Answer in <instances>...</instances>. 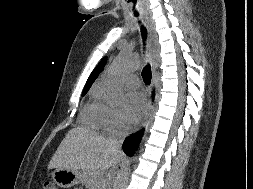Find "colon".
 Returning a JSON list of instances; mask_svg holds the SVG:
<instances>
[{"label": "colon", "mask_w": 253, "mask_h": 189, "mask_svg": "<svg viewBox=\"0 0 253 189\" xmlns=\"http://www.w3.org/2000/svg\"><path fill=\"white\" fill-rule=\"evenodd\" d=\"M43 189H59V188L55 183H53L51 181H47V182H45Z\"/></svg>", "instance_id": "1"}]
</instances>
